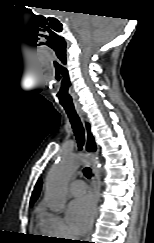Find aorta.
I'll list each match as a JSON object with an SVG mask.
<instances>
[{"instance_id": "1", "label": "aorta", "mask_w": 154, "mask_h": 243, "mask_svg": "<svg viewBox=\"0 0 154 243\" xmlns=\"http://www.w3.org/2000/svg\"><path fill=\"white\" fill-rule=\"evenodd\" d=\"M83 158L75 153L62 154L46 178V199L49 208L61 212L66 203V187Z\"/></svg>"}]
</instances>
